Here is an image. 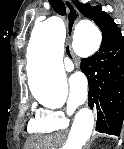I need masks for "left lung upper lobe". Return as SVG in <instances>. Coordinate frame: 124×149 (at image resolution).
Wrapping results in <instances>:
<instances>
[{"instance_id":"1","label":"left lung upper lobe","mask_w":124,"mask_h":149,"mask_svg":"<svg viewBox=\"0 0 124 149\" xmlns=\"http://www.w3.org/2000/svg\"><path fill=\"white\" fill-rule=\"evenodd\" d=\"M80 11L88 18L95 21L99 26L103 40L115 39L122 37L119 27L115 24L114 20L101 10L100 7H90L86 4L78 3Z\"/></svg>"}]
</instances>
